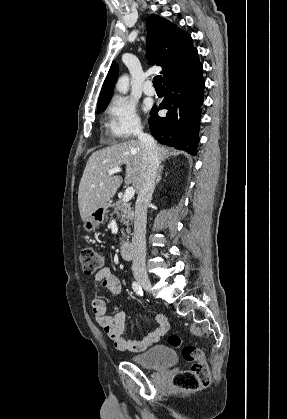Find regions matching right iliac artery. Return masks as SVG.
<instances>
[{
  "instance_id": "right-iliac-artery-1",
  "label": "right iliac artery",
  "mask_w": 287,
  "mask_h": 419,
  "mask_svg": "<svg viewBox=\"0 0 287 419\" xmlns=\"http://www.w3.org/2000/svg\"><path fill=\"white\" fill-rule=\"evenodd\" d=\"M132 288L137 295H140V296L143 295L142 288L137 282L132 283Z\"/></svg>"
}]
</instances>
